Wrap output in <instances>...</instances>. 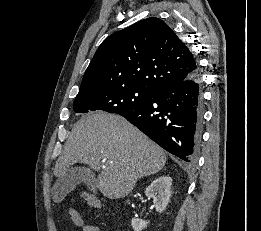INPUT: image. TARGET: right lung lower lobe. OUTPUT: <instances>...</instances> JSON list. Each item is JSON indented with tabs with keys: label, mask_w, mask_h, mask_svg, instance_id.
I'll use <instances>...</instances> for the list:
<instances>
[{
	"label": "right lung lower lobe",
	"mask_w": 261,
	"mask_h": 231,
	"mask_svg": "<svg viewBox=\"0 0 261 231\" xmlns=\"http://www.w3.org/2000/svg\"><path fill=\"white\" fill-rule=\"evenodd\" d=\"M121 116L171 154L186 162H194L202 126L198 72L161 88L147 104Z\"/></svg>",
	"instance_id": "98d812e1"
}]
</instances>
